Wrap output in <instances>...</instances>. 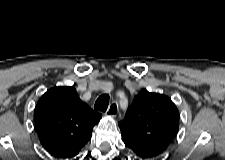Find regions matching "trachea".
<instances>
[{"instance_id": "obj_1", "label": "trachea", "mask_w": 225, "mask_h": 160, "mask_svg": "<svg viewBox=\"0 0 225 160\" xmlns=\"http://www.w3.org/2000/svg\"><path fill=\"white\" fill-rule=\"evenodd\" d=\"M108 105H109V95L103 94L99 96V98L96 100L94 108L96 110L105 112L107 110Z\"/></svg>"}]
</instances>
